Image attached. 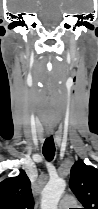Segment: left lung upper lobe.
I'll return each instance as SVG.
<instances>
[{
    "label": "left lung upper lobe",
    "mask_w": 98,
    "mask_h": 209,
    "mask_svg": "<svg viewBox=\"0 0 98 209\" xmlns=\"http://www.w3.org/2000/svg\"><path fill=\"white\" fill-rule=\"evenodd\" d=\"M69 185L83 209H98V169L79 159L71 168Z\"/></svg>",
    "instance_id": "obj_1"
}]
</instances>
